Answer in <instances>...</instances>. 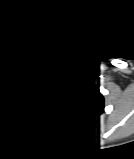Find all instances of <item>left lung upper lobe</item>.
Segmentation results:
<instances>
[{"mask_svg": "<svg viewBox=\"0 0 134 159\" xmlns=\"http://www.w3.org/2000/svg\"><path fill=\"white\" fill-rule=\"evenodd\" d=\"M71 102L76 113L86 119H92L103 112L104 99L99 87L94 83H79L71 91Z\"/></svg>", "mask_w": 134, "mask_h": 159, "instance_id": "left-lung-upper-lobe-1", "label": "left lung upper lobe"}]
</instances>
